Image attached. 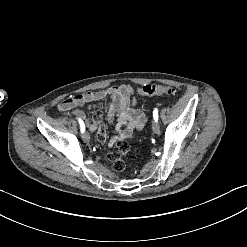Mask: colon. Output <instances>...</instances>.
Instances as JSON below:
<instances>
[{
    "label": "colon",
    "mask_w": 247,
    "mask_h": 247,
    "mask_svg": "<svg viewBox=\"0 0 247 247\" xmlns=\"http://www.w3.org/2000/svg\"><path fill=\"white\" fill-rule=\"evenodd\" d=\"M137 93L141 96L167 95L172 96L176 90L171 85L143 84L137 88Z\"/></svg>",
    "instance_id": "5ec220e1"
}]
</instances>
